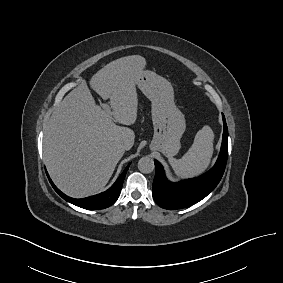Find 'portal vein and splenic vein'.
Returning <instances> with one entry per match:
<instances>
[{
    "label": "portal vein and splenic vein",
    "instance_id": "portal-vein-and-splenic-vein-1",
    "mask_svg": "<svg viewBox=\"0 0 283 283\" xmlns=\"http://www.w3.org/2000/svg\"><path fill=\"white\" fill-rule=\"evenodd\" d=\"M103 109H104L106 112H108V113H110V112H111V110H110V108H109V105H108V104H104V105H103Z\"/></svg>",
    "mask_w": 283,
    "mask_h": 283
}]
</instances>
